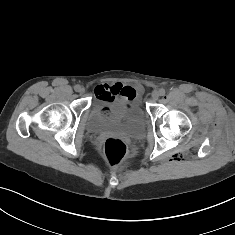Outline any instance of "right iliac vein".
<instances>
[{
  "label": "right iliac vein",
  "mask_w": 235,
  "mask_h": 235,
  "mask_svg": "<svg viewBox=\"0 0 235 235\" xmlns=\"http://www.w3.org/2000/svg\"><path fill=\"white\" fill-rule=\"evenodd\" d=\"M78 92H79L80 94L85 93V88L80 86Z\"/></svg>",
  "instance_id": "1"
}]
</instances>
